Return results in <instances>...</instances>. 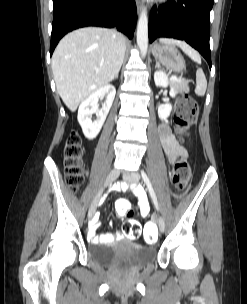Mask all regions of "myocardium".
Masks as SVG:
<instances>
[{"mask_svg":"<svg viewBox=\"0 0 247 304\" xmlns=\"http://www.w3.org/2000/svg\"><path fill=\"white\" fill-rule=\"evenodd\" d=\"M159 3H165L168 0H157Z\"/></svg>","mask_w":247,"mask_h":304,"instance_id":"myocardium-1","label":"myocardium"}]
</instances>
